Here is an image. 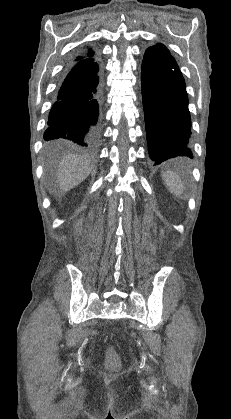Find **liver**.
Wrapping results in <instances>:
<instances>
[{"instance_id":"liver-1","label":"liver","mask_w":231,"mask_h":419,"mask_svg":"<svg viewBox=\"0 0 231 419\" xmlns=\"http://www.w3.org/2000/svg\"><path fill=\"white\" fill-rule=\"evenodd\" d=\"M90 173L89 160L78 155H68L61 161L57 171V182L65 193L80 184Z\"/></svg>"}]
</instances>
